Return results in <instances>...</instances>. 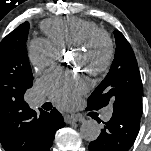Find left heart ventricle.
Returning a JSON list of instances; mask_svg holds the SVG:
<instances>
[{
    "mask_svg": "<svg viewBox=\"0 0 151 151\" xmlns=\"http://www.w3.org/2000/svg\"><path fill=\"white\" fill-rule=\"evenodd\" d=\"M105 55V47L103 44H99L92 54L83 55L81 53H75L74 63L77 66L83 67L85 64L95 65L98 64Z\"/></svg>",
    "mask_w": 151,
    "mask_h": 151,
    "instance_id": "obj_1",
    "label": "left heart ventricle"
}]
</instances>
